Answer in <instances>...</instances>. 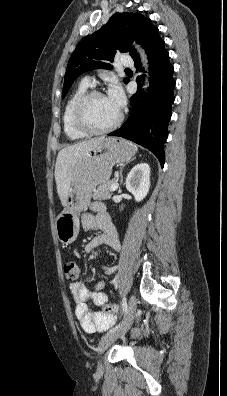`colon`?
Here are the masks:
<instances>
[{
    "label": "colon",
    "instance_id": "5ec220e1",
    "mask_svg": "<svg viewBox=\"0 0 227 396\" xmlns=\"http://www.w3.org/2000/svg\"><path fill=\"white\" fill-rule=\"evenodd\" d=\"M65 277L68 281L74 282L79 277L78 265L74 260H66L63 265ZM118 311L117 304L107 303L103 306V312L116 313Z\"/></svg>",
    "mask_w": 227,
    "mask_h": 396
}]
</instances>
